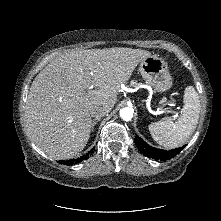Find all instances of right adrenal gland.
Here are the masks:
<instances>
[{
	"label": "right adrenal gland",
	"mask_w": 221,
	"mask_h": 221,
	"mask_svg": "<svg viewBox=\"0 0 221 221\" xmlns=\"http://www.w3.org/2000/svg\"><path fill=\"white\" fill-rule=\"evenodd\" d=\"M99 120H100L99 118L93 119L92 125H91V130H92V131H93V129H94V126L97 124V122H98Z\"/></svg>",
	"instance_id": "1"
}]
</instances>
